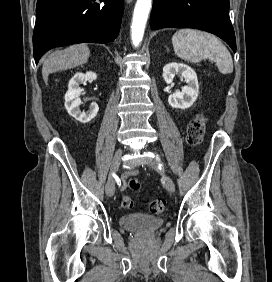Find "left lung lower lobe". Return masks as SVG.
<instances>
[{
    "mask_svg": "<svg viewBox=\"0 0 272 282\" xmlns=\"http://www.w3.org/2000/svg\"><path fill=\"white\" fill-rule=\"evenodd\" d=\"M228 10L229 0H154L150 26L201 29L219 36L235 52V34Z\"/></svg>",
    "mask_w": 272,
    "mask_h": 282,
    "instance_id": "left-lung-lower-lobe-1",
    "label": "left lung lower lobe"
}]
</instances>
